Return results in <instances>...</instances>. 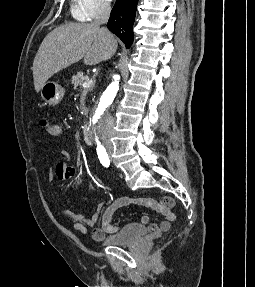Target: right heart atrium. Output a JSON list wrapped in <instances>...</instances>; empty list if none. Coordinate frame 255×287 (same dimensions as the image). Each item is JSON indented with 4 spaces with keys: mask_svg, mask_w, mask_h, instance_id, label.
Listing matches in <instances>:
<instances>
[{
    "mask_svg": "<svg viewBox=\"0 0 255 287\" xmlns=\"http://www.w3.org/2000/svg\"><path fill=\"white\" fill-rule=\"evenodd\" d=\"M62 48H74V47H62Z\"/></svg>",
    "mask_w": 255,
    "mask_h": 287,
    "instance_id": "d8ad5b80",
    "label": "right heart atrium"
}]
</instances>
